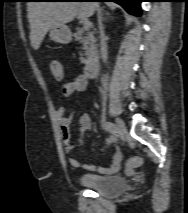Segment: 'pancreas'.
<instances>
[{
  "label": "pancreas",
  "instance_id": "pancreas-1",
  "mask_svg": "<svg viewBox=\"0 0 188 213\" xmlns=\"http://www.w3.org/2000/svg\"><path fill=\"white\" fill-rule=\"evenodd\" d=\"M92 26L89 29L77 28L74 38L83 44L84 53L80 56V61L87 64L92 58L97 56V39Z\"/></svg>",
  "mask_w": 188,
  "mask_h": 213
}]
</instances>
